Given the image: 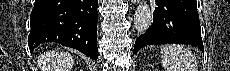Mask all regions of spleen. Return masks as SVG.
I'll return each mask as SVG.
<instances>
[{"label":"spleen","instance_id":"obj_1","mask_svg":"<svg viewBox=\"0 0 230 71\" xmlns=\"http://www.w3.org/2000/svg\"><path fill=\"white\" fill-rule=\"evenodd\" d=\"M161 63L166 71H197V61L188 48L166 45L161 48Z\"/></svg>","mask_w":230,"mask_h":71}]
</instances>
